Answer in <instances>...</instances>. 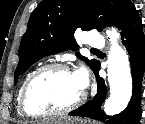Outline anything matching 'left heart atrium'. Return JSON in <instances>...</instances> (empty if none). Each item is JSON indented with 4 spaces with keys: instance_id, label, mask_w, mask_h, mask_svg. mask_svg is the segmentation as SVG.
Masks as SVG:
<instances>
[{
    "instance_id": "left-heart-atrium-1",
    "label": "left heart atrium",
    "mask_w": 145,
    "mask_h": 124,
    "mask_svg": "<svg viewBox=\"0 0 145 124\" xmlns=\"http://www.w3.org/2000/svg\"><path fill=\"white\" fill-rule=\"evenodd\" d=\"M75 79L82 90H84L87 86V75L81 70L74 73Z\"/></svg>"
}]
</instances>
